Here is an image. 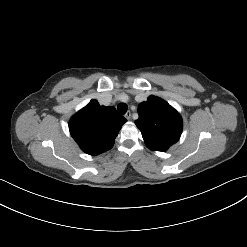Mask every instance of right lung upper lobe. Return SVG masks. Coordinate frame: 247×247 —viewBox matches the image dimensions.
<instances>
[{
    "label": "right lung upper lobe",
    "instance_id": "obj_1",
    "mask_svg": "<svg viewBox=\"0 0 247 247\" xmlns=\"http://www.w3.org/2000/svg\"><path fill=\"white\" fill-rule=\"evenodd\" d=\"M126 119L114 107L91 100L69 122L71 136L85 153L99 155L110 150Z\"/></svg>",
    "mask_w": 247,
    "mask_h": 247
}]
</instances>
